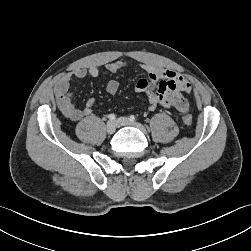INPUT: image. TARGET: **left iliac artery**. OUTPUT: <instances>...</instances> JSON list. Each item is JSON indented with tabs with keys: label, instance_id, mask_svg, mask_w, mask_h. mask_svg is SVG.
<instances>
[{
	"label": "left iliac artery",
	"instance_id": "1",
	"mask_svg": "<svg viewBox=\"0 0 251 251\" xmlns=\"http://www.w3.org/2000/svg\"><path fill=\"white\" fill-rule=\"evenodd\" d=\"M129 120L135 121V116H134V115H131V116L129 117Z\"/></svg>",
	"mask_w": 251,
	"mask_h": 251
}]
</instances>
